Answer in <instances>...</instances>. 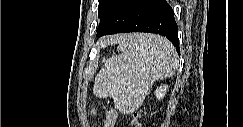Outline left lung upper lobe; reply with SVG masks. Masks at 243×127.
I'll list each match as a JSON object with an SVG mask.
<instances>
[{
    "instance_id": "5c2ea615",
    "label": "left lung upper lobe",
    "mask_w": 243,
    "mask_h": 127,
    "mask_svg": "<svg viewBox=\"0 0 243 127\" xmlns=\"http://www.w3.org/2000/svg\"><path fill=\"white\" fill-rule=\"evenodd\" d=\"M122 0H99V17L101 18L99 28L106 25V17L120 4Z\"/></svg>"
}]
</instances>
